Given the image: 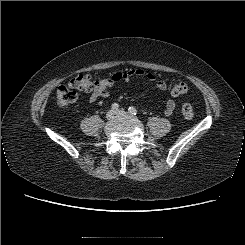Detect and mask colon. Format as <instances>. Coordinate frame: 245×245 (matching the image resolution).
Returning <instances> with one entry per match:
<instances>
[{"label": "colon", "mask_w": 245, "mask_h": 245, "mask_svg": "<svg viewBox=\"0 0 245 245\" xmlns=\"http://www.w3.org/2000/svg\"><path fill=\"white\" fill-rule=\"evenodd\" d=\"M95 88L89 74H79L74 77L68 85L59 86L56 90V102L61 107H67L74 103L80 91H92ZM188 92V85L185 82H175L173 84L171 93L173 96H182ZM183 116L191 120L194 117V110L191 104L184 103L182 105Z\"/></svg>", "instance_id": "5ec220e1"}]
</instances>
